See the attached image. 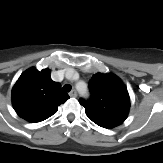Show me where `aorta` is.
Instances as JSON below:
<instances>
[{"label":"aorta","mask_w":163,"mask_h":163,"mask_svg":"<svg viewBox=\"0 0 163 163\" xmlns=\"http://www.w3.org/2000/svg\"><path fill=\"white\" fill-rule=\"evenodd\" d=\"M76 87L78 89V91L80 92V94L84 97H88L89 96V90H88V87H87V84L83 81H79L77 84H76Z\"/></svg>","instance_id":"obj_1"}]
</instances>
